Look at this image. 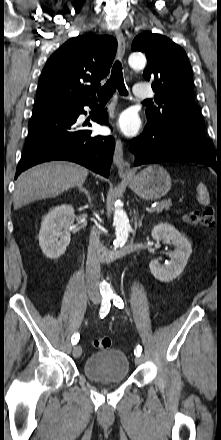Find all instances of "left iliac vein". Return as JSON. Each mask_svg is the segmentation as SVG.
I'll return each mask as SVG.
<instances>
[{
	"label": "left iliac vein",
	"mask_w": 221,
	"mask_h": 440,
	"mask_svg": "<svg viewBox=\"0 0 221 440\" xmlns=\"http://www.w3.org/2000/svg\"><path fill=\"white\" fill-rule=\"evenodd\" d=\"M142 357L141 356H137L136 358H135V363L137 364V365H139V364H141L142 363Z\"/></svg>",
	"instance_id": "obj_1"
}]
</instances>
